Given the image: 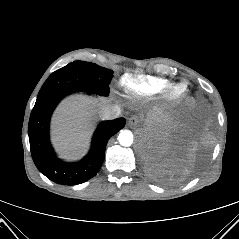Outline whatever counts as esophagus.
I'll list each match as a JSON object with an SVG mask.
<instances>
[{"label":"esophagus","mask_w":239,"mask_h":239,"mask_svg":"<svg viewBox=\"0 0 239 239\" xmlns=\"http://www.w3.org/2000/svg\"><path fill=\"white\" fill-rule=\"evenodd\" d=\"M140 119L138 116L136 115H132L129 119H128V125L130 126H135L139 123Z\"/></svg>","instance_id":"esophagus-1"}]
</instances>
